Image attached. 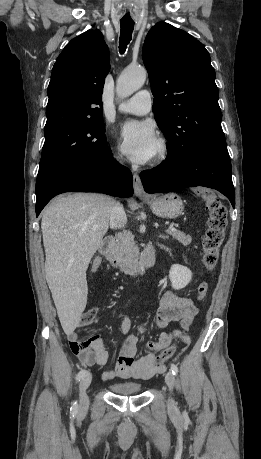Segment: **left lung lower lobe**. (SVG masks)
<instances>
[{"instance_id":"obj_1","label":"left lung lower lobe","mask_w":261,"mask_h":459,"mask_svg":"<svg viewBox=\"0 0 261 459\" xmlns=\"http://www.w3.org/2000/svg\"><path fill=\"white\" fill-rule=\"evenodd\" d=\"M140 178L148 193L205 186L220 191L235 207L231 162L226 144L201 148L182 161L166 157L161 165L141 172Z\"/></svg>"}]
</instances>
